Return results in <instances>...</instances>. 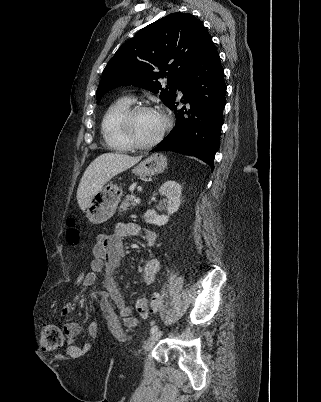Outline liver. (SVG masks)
Listing matches in <instances>:
<instances>
[{
  "label": "liver",
  "mask_w": 321,
  "mask_h": 402,
  "mask_svg": "<svg viewBox=\"0 0 321 402\" xmlns=\"http://www.w3.org/2000/svg\"><path fill=\"white\" fill-rule=\"evenodd\" d=\"M119 153H104L94 159L85 170L77 189L79 207L85 210L91 198L115 175L141 160Z\"/></svg>",
  "instance_id": "1"
}]
</instances>
